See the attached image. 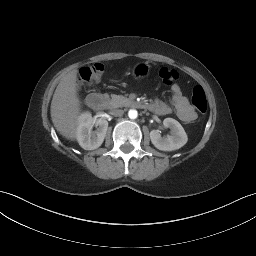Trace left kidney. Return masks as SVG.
Masks as SVG:
<instances>
[{"label":"left kidney","instance_id":"5707ae66","mask_svg":"<svg viewBox=\"0 0 256 256\" xmlns=\"http://www.w3.org/2000/svg\"><path fill=\"white\" fill-rule=\"evenodd\" d=\"M163 125L166 128H170L171 135L162 137L158 130H152L150 132L151 142L157 149L162 151H174L187 143V134L177 120L173 118H165Z\"/></svg>","mask_w":256,"mask_h":256}]
</instances>
